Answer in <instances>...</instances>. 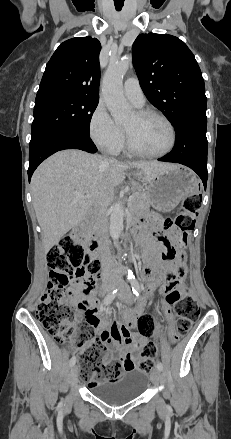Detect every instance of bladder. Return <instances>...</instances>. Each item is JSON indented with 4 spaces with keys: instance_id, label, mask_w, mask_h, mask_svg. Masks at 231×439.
<instances>
[{
    "instance_id": "bladder-1",
    "label": "bladder",
    "mask_w": 231,
    "mask_h": 439,
    "mask_svg": "<svg viewBox=\"0 0 231 439\" xmlns=\"http://www.w3.org/2000/svg\"><path fill=\"white\" fill-rule=\"evenodd\" d=\"M151 375L141 369H127L117 381H105L89 387L90 393L109 405H120L139 398L147 389Z\"/></svg>"
}]
</instances>
